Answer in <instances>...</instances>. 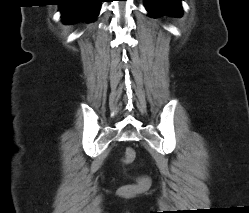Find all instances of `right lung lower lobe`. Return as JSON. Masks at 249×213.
I'll return each mask as SVG.
<instances>
[{"label":"right lung lower lobe","instance_id":"right-lung-lower-lobe-1","mask_svg":"<svg viewBox=\"0 0 249 213\" xmlns=\"http://www.w3.org/2000/svg\"><path fill=\"white\" fill-rule=\"evenodd\" d=\"M102 0H62L59 10L65 23L77 20H94L100 11Z\"/></svg>","mask_w":249,"mask_h":213}]
</instances>
